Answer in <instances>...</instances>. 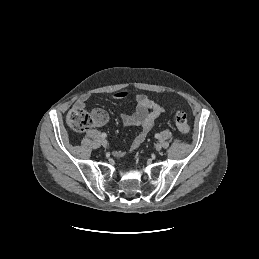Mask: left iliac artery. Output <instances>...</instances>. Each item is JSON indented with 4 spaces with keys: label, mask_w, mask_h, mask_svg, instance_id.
I'll list each match as a JSON object with an SVG mask.
<instances>
[{
    "label": "left iliac artery",
    "mask_w": 259,
    "mask_h": 259,
    "mask_svg": "<svg viewBox=\"0 0 259 259\" xmlns=\"http://www.w3.org/2000/svg\"><path fill=\"white\" fill-rule=\"evenodd\" d=\"M155 138H157V139L160 138V134H158V133L155 134Z\"/></svg>",
    "instance_id": "left-iliac-artery-1"
}]
</instances>
